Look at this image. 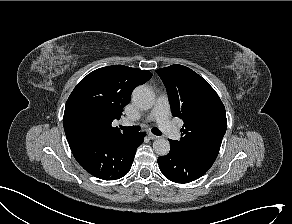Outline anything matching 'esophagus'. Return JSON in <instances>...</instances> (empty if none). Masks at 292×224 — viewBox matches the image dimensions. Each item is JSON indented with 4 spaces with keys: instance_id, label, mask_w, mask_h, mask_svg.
Here are the masks:
<instances>
[{
    "instance_id": "obj_1",
    "label": "esophagus",
    "mask_w": 292,
    "mask_h": 224,
    "mask_svg": "<svg viewBox=\"0 0 292 224\" xmlns=\"http://www.w3.org/2000/svg\"><path fill=\"white\" fill-rule=\"evenodd\" d=\"M148 136H149V138L152 139V140H155V139H158V138H159V136L154 135V134H152V133H149Z\"/></svg>"
}]
</instances>
